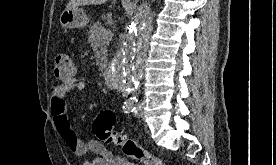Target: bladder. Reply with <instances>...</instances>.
Instances as JSON below:
<instances>
[{
  "mask_svg": "<svg viewBox=\"0 0 276 165\" xmlns=\"http://www.w3.org/2000/svg\"><path fill=\"white\" fill-rule=\"evenodd\" d=\"M113 165H140L139 163L129 161L124 158L117 159Z\"/></svg>",
  "mask_w": 276,
  "mask_h": 165,
  "instance_id": "obj_1",
  "label": "bladder"
}]
</instances>
